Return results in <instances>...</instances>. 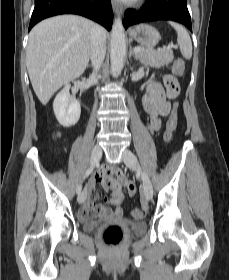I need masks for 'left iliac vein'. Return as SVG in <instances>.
I'll return each instance as SVG.
<instances>
[{"mask_svg":"<svg viewBox=\"0 0 229 280\" xmlns=\"http://www.w3.org/2000/svg\"><path fill=\"white\" fill-rule=\"evenodd\" d=\"M122 159L125 163V165L131 169L137 171V173L140 175L143 189H144V195L147 200H151L153 197V187L152 183L148 177V175L141 169L139 166L138 160L136 156L128 149H125L123 152Z\"/></svg>","mask_w":229,"mask_h":280,"instance_id":"1","label":"left iliac vein"}]
</instances>
